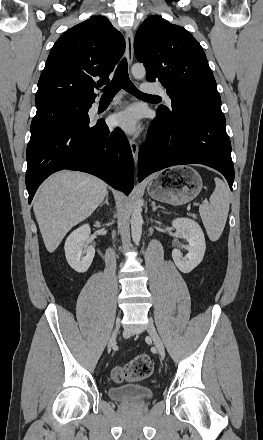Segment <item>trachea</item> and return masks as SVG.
<instances>
[{
    "label": "trachea",
    "mask_w": 263,
    "mask_h": 440,
    "mask_svg": "<svg viewBox=\"0 0 263 440\" xmlns=\"http://www.w3.org/2000/svg\"><path fill=\"white\" fill-rule=\"evenodd\" d=\"M124 89L128 93L137 96V97H154L159 98L155 95H148L140 92L134 84L130 81L128 75V64L126 58L122 59L119 63L114 78L112 81L104 88L103 97H111L115 96L116 93L120 90Z\"/></svg>",
    "instance_id": "obj_1"
}]
</instances>
